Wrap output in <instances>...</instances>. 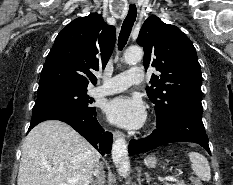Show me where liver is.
<instances>
[{
	"mask_svg": "<svg viewBox=\"0 0 233 185\" xmlns=\"http://www.w3.org/2000/svg\"><path fill=\"white\" fill-rule=\"evenodd\" d=\"M99 159V152L69 125L48 120L23 142L17 185H89Z\"/></svg>",
	"mask_w": 233,
	"mask_h": 185,
	"instance_id": "obj_1",
	"label": "liver"
}]
</instances>
